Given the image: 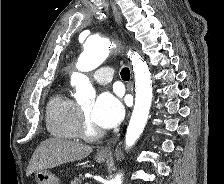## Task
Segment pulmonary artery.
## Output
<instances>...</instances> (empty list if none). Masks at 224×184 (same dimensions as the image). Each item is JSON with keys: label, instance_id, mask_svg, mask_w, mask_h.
<instances>
[{"label": "pulmonary artery", "instance_id": "pulmonary-artery-1", "mask_svg": "<svg viewBox=\"0 0 224 184\" xmlns=\"http://www.w3.org/2000/svg\"><path fill=\"white\" fill-rule=\"evenodd\" d=\"M114 73L111 69L105 67L97 70L93 74L94 80L99 84H107L112 81Z\"/></svg>", "mask_w": 224, "mask_h": 184}]
</instances>
